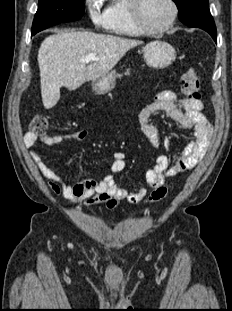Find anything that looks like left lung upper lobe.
<instances>
[{
  "instance_id": "left-lung-upper-lobe-1",
  "label": "left lung upper lobe",
  "mask_w": 232,
  "mask_h": 311,
  "mask_svg": "<svg viewBox=\"0 0 232 311\" xmlns=\"http://www.w3.org/2000/svg\"><path fill=\"white\" fill-rule=\"evenodd\" d=\"M179 10V19L185 20L194 17L203 10L209 8L208 0H173Z\"/></svg>"
}]
</instances>
